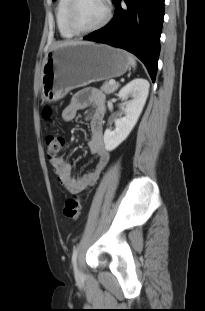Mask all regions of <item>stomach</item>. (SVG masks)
I'll return each instance as SVG.
<instances>
[{"mask_svg": "<svg viewBox=\"0 0 205 311\" xmlns=\"http://www.w3.org/2000/svg\"><path fill=\"white\" fill-rule=\"evenodd\" d=\"M128 67V54L108 45L76 43L54 47L43 61L41 99L57 101L72 89L122 76Z\"/></svg>", "mask_w": 205, "mask_h": 311, "instance_id": "0dacf381", "label": "stomach"}]
</instances>
